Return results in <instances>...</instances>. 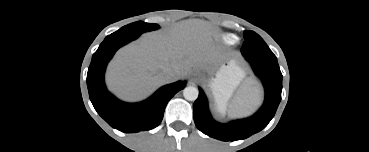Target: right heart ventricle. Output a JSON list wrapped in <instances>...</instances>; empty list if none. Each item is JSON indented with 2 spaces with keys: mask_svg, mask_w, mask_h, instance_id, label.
<instances>
[{
  "mask_svg": "<svg viewBox=\"0 0 369 152\" xmlns=\"http://www.w3.org/2000/svg\"><path fill=\"white\" fill-rule=\"evenodd\" d=\"M225 41H226L227 43L231 44V43H234V42L236 41V38H235V37H233V36H227V37L225 38Z\"/></svg>",
  "mask_w": 369,
  "mask_h": 152,
  "instance_id": "obj_1",
  "label": "right heart ventricle"
}]
</instances>
